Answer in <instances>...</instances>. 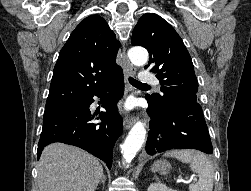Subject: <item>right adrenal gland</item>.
<instances>
[{
    "label": "right adrenal gland",
    "instance_id": "right-adrenal-gland-1",
    "mask_svg": "<svg viewBox=\"0 0 251 191\" xmlns=\"http://www.w3.org/2000/svg\"><path fill=\"white\" fill-rule=\"evenodd\" d=\"M105 181H106V175H102V179H100L99 183H103V185H105Z\"/></svg>",
    "mask_w": 251,
    "mask_h": 191
}]
</instances>
